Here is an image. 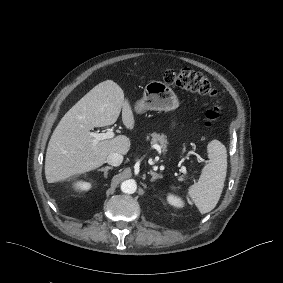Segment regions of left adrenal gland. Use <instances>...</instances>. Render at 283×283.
I'll return each mask as SVG.
<instances>
[{
	"label": "left adrenal gland",
	"mask_w": 283,
	"mask_h": 283,
	"mask_svg": "<svg viewBox=\"0 0 283 283\" xmlns=\"http://www.w3.org/2000/svg\"><path fill=\"white\" fill-rule=\"evenodd\" d=\"M148 174L152 175L151 182L155 181L158 178H162L161 174H158V173H156V172H154L152 170L150 172H148Z\"/></svg>",
	"instance_id": "obj_1"
}]
</instances>
